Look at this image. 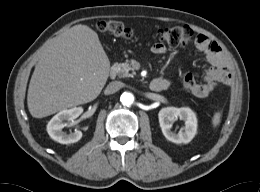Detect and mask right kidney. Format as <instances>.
Wrapping results in <instances>:
<instances>
[{
    "mask_svg": "<svg viewBox=\"0 0 260 192\" xmlns=\"http://www.w3.org/2000/svg\"><path fill=\"white\" fill-rule=\"evenodd\" d=\"M83 112L82 107H74L72 109H65L57 113L48 123L47 132L49 136L61 143L71 144L79 141L82 137V132L75 130L73 133L65 134L62 132L65 124L64 121H71L76 119Z\"/></svg>",
    "mask_w": 260,
    "mask_h": 192,
    "instance_id": "obj_1",
    "label": "right kidney"
}]
</instances>
